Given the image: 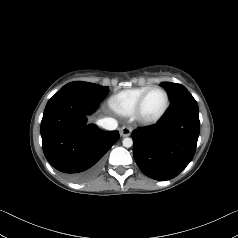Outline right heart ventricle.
<instances>
[{"label":"right heart ventricle","mask_w":238,"mask_h":238,"mask_svg":"<svg viewBox=\"0 0 238 238\" xmlns=\"http://www.w3.org/2000/svg\"><path fill=\"white\" fill-rule=\"evenodd\" d=\"M149 85L122 90L110 98L111 108L120 115L128 116L134 111L140 96L149 88Z\"/></svg>","instance_id":"e07e8e85"}]
</instances>
